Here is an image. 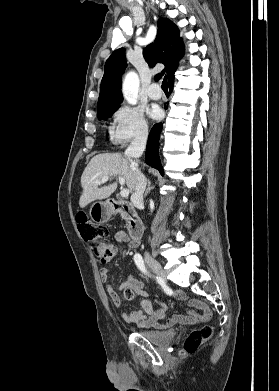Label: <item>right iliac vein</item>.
<instances>
[{"label":"right iliac vein","instance_id":"right-iliac-vein-1","mask_svg":"<svg viewBox=\"0 0 279 391\" xmlns=\"http://www.w3.org/2000/svg\"><path fill=\"white\" fill-rule=\"evenodd\" d=\"M147 264L149 265V267L152 269V271L156 275H158L162 278L165 277L164 270H163L161 264L156 259H154L153 257H147Z\"/></svg>","mask_w":279,"mask_h":391}]
</instances>
